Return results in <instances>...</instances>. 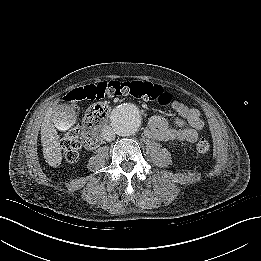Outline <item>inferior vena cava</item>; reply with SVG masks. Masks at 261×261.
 I'll use <instances>...</instances> for the list:
<instances>
[{"label":"inferior vena cava","mask_w":261,"mask_h":261,"mask_svg":"<svg viewBox=\"0 0 261 261\" xmlns=\"http://www.w3.org/2000/svg\"><path fill=\"white\" fill-rule=\"evenodd\" d=\"M102 136L106 141H112L115 139V133L110 126H106L102 131Z\"/></svg>","instance_id":"602c4592"}]
</instances>
